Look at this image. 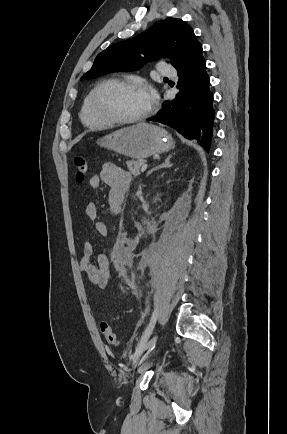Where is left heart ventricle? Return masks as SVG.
Segmentation results:
<instances>
[{"label": "left heart ventricle", "instance_id": "obj_1", "mask_svg": "<svg viewBox=\"0 0 287 434\" xmlns=\"http://www.w3.org/2000/svg\"><path fill=\"white\" fill-rule=\"evenodd\" d=\"M150 107L145 88L110 86L100 95V110L111 117L127 119L143 114Z\"/></svg>", "mask_w": 287, "mask_h": 434}]
</instances>
